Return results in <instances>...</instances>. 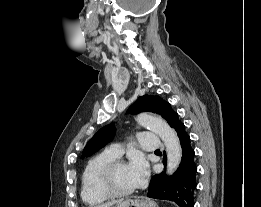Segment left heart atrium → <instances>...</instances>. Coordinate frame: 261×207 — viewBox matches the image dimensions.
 <instances>
[{"label": "left heart atrium", "instance_id": "left-heart-atrium-1", "mask_svg": "<svg viewBox=\"0 0 261 207\" xmlns=\"http://www.w3.org/2000/svg\"><path fill=\"white\" fill-rule=\"evenodd\" d=\"M127 166L134 187L140 186L148 173V164L146 160L141 155H134Z\"/></svg>", "mask_w": 261, "mask_h": 207}]
</instances>
